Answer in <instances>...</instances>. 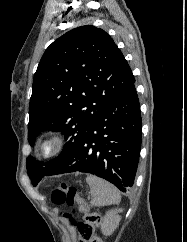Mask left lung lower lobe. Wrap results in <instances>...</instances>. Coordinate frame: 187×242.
Instances as JSON below:
<instances>
[{
  "label": "left lung lower lobe",
  "instance_id": "left-lung-lower-lobe-1",
  "mask_svg": "<svg viewBox=\"0 0 187 242\" xmlns=\"http://www.w3.org/2000/svg\"><path fill=\"white\" fill-rule=\"evenodd\" d=\"M140 104L132 83L94 120L74 151L45 175L87 172L126 192L134 183L141 149Z\"/></svg>",
  "mask_w": 187,
  "mask_h": 242
}]
</instances>
